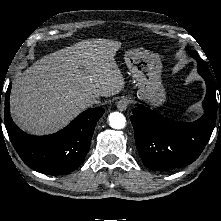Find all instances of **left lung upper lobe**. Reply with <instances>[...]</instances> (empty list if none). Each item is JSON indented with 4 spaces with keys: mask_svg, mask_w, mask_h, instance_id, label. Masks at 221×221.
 Segmentation results:
<instances>
[{
    "mask_svg": "<svg viewBox=\"0 0 221 221\" xmlns=\"http://www.w3.org/2000/svg\"><path fill=\"white\" fill-rule=\"evenodd\" d=\"M191 55H192V57L195 58V59L199 57L196 51H193V52L191 53Z\"/></svg>",
    "mask_w": 221,
    "mask_h": 221,
    "instance_id": "1",
    "label": "left lung upper lobe"
}]
</instances>
